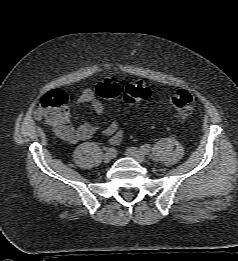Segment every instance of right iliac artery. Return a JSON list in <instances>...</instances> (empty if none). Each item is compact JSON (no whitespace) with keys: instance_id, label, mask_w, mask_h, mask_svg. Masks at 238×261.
<instances>
[{"instance_id":"1","label":"right iliac artery","mask_w":238,"mask_h":261,"mask_svg":"<svg viewBox=\"0 0 238 261\" xmlns=\"http://www.w3.org/2000/svg\"><path fill=\"white\" fill-rule=\"evenodd\" d=\"M106 151H107V153H109V154L112 153L114 155L117 154V152H118L117 149H114V148H107Z\"/></svg>"}]
</instances>
